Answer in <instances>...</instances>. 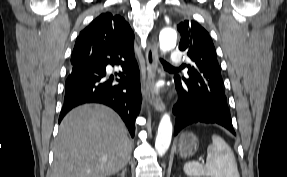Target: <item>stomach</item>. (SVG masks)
Segmentation results:
<instances>
[{
  "label": "stomach",
  "instance_id": "1",
  "mask_svg": "<svg viewBox=\"0 0 287 177\" xmlns=\"http://www.w3.org/2000/svg\"><path fill=\"white\" fill-rule=\"evenodd\" d=\"M199 140L192 132H184L179 137L177 153L182 158L191 157L198 150Z\"/></svg>",
  "mask_w": 287,
  "mask_h": 177
}]
</instances>
